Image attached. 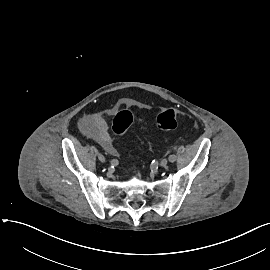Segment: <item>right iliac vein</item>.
I'll use <instances>...</instances> for the list:
<instances>
[{
  "instance_id": "1",
  "label": "right iliac vein",
  "mask_w": 270,
  "mask_h": 270,
  "mask_svg": "<svg viewBox=\"0 0 270 270\" xmlns=\"http://www.w3.org/2000/svg\"><path fill=\"white\" fill-rule=\"evenodd\" d=\"M98 159H99L101 162H105V157H104L102 154H98Z\"/></svg>"
}]
</instances>
